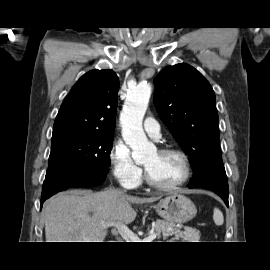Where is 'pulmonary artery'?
I'll use <instances>...</instances> for the list:
<instances>
[{
    "mask_svg": "<svg viewBox=\"0 0 270 270\" xmlns=\"http://www.w3.org/2000/svg\"><path fill=\"white\" fill-rule=\"evenodd\" d=\"M144 130L151 137H159L160 136V126L157 121L152 117H147L143 124Z\"/></svg>",
    "mask_w": 270,
    "mask_h": 270,
    "instance_id": "e3ab8cb5",
    "label": "pulmonary artery"
}]
</instances>
